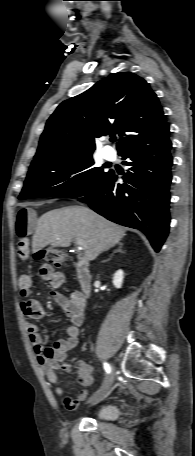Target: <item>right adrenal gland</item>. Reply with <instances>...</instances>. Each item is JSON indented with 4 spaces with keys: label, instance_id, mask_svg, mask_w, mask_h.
Segmentation results:
<instances>
[{
    "label": "right adrenal gland",
    "instance_id": "2a0ac1e0",
    "mask_svg": "<svg viewBox=\"0 0 195 456\" xmlns=\"http://www.w3.org/2000/svg\"><path fill=\"white\" fill-rule=\"evenodd\" d=\"M117 252L124 253L123 250H122V244H121V243L119 244L118 249L115 250V251H113L112 255H113L114 253H117ZM112 255H111V256H112ZM111 256H110V257H111Z\"/></svg>",
    "mask_w": 195,
    "mask_h": 456
}]
</instances>
